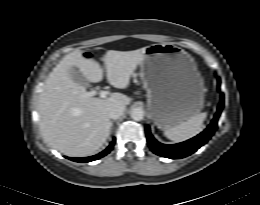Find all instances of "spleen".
<instances>
[{"label":"spleen","mask_w":260,"mask_h":205,"mask_svg":"<svg viewBox=\"0 0 260 205\" xmlns=\"http://www.w3.org/2000/svg\"><path fill=\"white\" fill-rule=\"evenodd\" d=\"M206 117V112L199 113L195 116H192L187 121L182 122L173 128L165 130L164 135L174 142L188 140L201 132L202 125Z\"/></svg>","instance_id":"1"}]
</instances>
